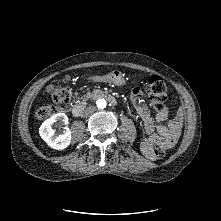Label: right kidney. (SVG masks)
<instances>
[{
	"instance_id": "right-kidney-1",
	"label": "right kidney",
	"mask_w": 221,
	"mask_h": 221,
	"mask_svg": "<svg viewBox=\"0 0 221 221\" xmlns=\"http://www.w3.org/2000/svg\"><path fill=\"white\" fill-rule=\"evenodd\" d=\"M55 123L67 125V115L64 113H57L45 120L39 128V134L51 148L63 150L67 148L71 142V131L67 126H65L62 130L56 132V130L52 128Z\"/></svg>"
}]
</instances>
